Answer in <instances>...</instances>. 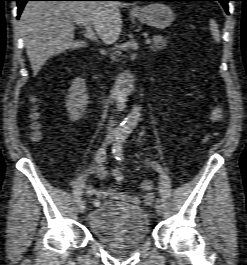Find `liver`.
I'll return each mask as SVG.
<instances>
[{
	"instance_id": "1",
	"label": "liver",
	"mask_w": 247,
	"mask_h": 265,
	"mask_svg": "<svg viewBox=\"0 0 247 265\" xmlns=\"http://www.w3.org/2000/svg\"><path fill=\"white\" fill-rule=\"evenodd\" d=\"M120 6L119 2L29 1L20 25L33 75L50 57L86 46L85 41H74V24L93 25L103 43L116 42L122 28Z\"/></svg>"
}]
</instances>
